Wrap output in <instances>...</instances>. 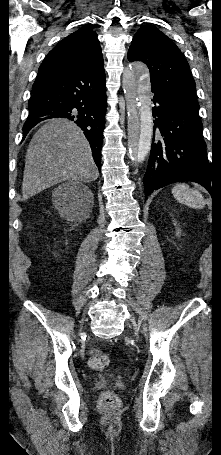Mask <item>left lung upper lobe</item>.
I'll return each mask as SVG.
<instances>
[{"instance_id":"left-lung-upper-lobe-1","label":"left lung upper lobe","mask_w":221,"mask_h":455,"mask_svg":"<svg viewBox=\"0 0 221 455\" xmlns=\"http://www.w3.org/2000/svg\"><path fill=\"white\" fill-rule=\"evenodd\" d=\"M128 60L142 61L148 66L152 87L199 109L189 64L180 49L160 30L150 25L141 27L133 37Z\"/></svg>"}]
</instances>
